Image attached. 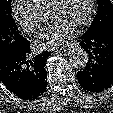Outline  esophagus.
<instances>
[{"label": "esophagus", "instance_id": "esophagus-1", "mask_svg": "<svg viewBox=\"0 0 113 113\" xmlns=\"http://www.w3.org/2000/svg\"><path fill=\"white\" fill-rule=\"evenodd\" d=\"M77 43L76 42H73V43H65L63 44L61 47H60V50H66L70 47H72L73 45H76Z\"/></svg>", "mask_w": 113, "mask_h": 113}]
</instances>
